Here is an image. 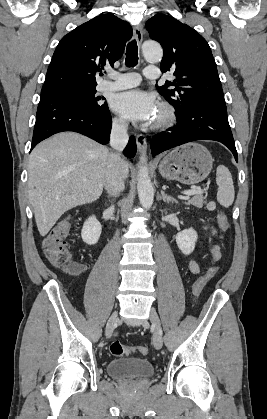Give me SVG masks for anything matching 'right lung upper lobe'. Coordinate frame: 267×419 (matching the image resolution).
<instances>
[{
	"mask_svg": "<svg viewBox=\"0 0 267 419\" xmlns=\"http://www.w3.org/2000/svg\"><path fill=\"white\" fill-rule=\"evenodd\" d=\"M131 36L130 24L113 14L99 15L78 26L56 47L41 94L69 85L96 87V73L121 58Z\"/></svg>",
	"mask_w": 267,
	"mask_h": 419,
	"instance_id": "1",
	"label": "right lung upper lobe"
}]
</instances>
